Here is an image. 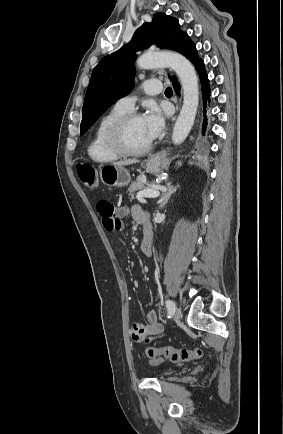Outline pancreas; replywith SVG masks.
Segmentation results:
<instances>
[{
  "label": "pancreas",
  "mask_w": 283,
  "mask_h": 434,
  "mask_svg": "<svg viewBox=\"0 0 283 434\" xmlns=\"http://www.w3.org/2000/svg\"><path fill=\"white\" fill-rule=\"evenodd\" d=\"M145 183V178L139 176L136 181L129 187L128 192L130 193L132 198H134L136 191L146 189Z\"/></svg>",
  "instance_id": "1"
}]
</instances>
